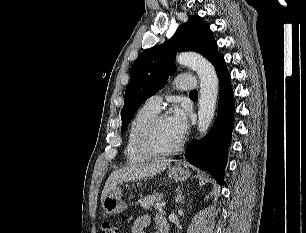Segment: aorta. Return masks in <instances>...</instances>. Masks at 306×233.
<instances>
[{
	"label": "aorta",
	"instance_id": "obj_1",
	"mask_svg": "<svg viewBox=\"0 0 306 233\" xmlns=\"http://www.w3.org/2000/svg\"><path fill=\"white\" fill-rule=\"evenodd\" d=\"M176 62L195 70L200 78L198 110V132L201 136L208 131L215 113L219 81L214 66L203 56L193 52H183L176 56Z\"/></svg>",
	"mask_w": 306,
	"mask_h": 233
}]
</instances>
